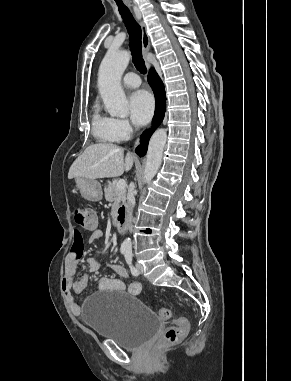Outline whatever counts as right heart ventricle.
<instances>
[{
	"label": "right heart ventricle",
	"instance_id": "1",
	"mask_svg": "<svg viewBox=\"0 0 291 381\" xmlns=\"http://www.w3.org/2000/svg\"><path fill=\"white\" fill-rule=\"evenodd\" d=\"M92 131L94 136L102 142L114 143L121 140L113 129L112 119L103 115L98 106L93 111Z\"/></svg>",
	"mask_w": 291,
	"mask_h": 381
}]
</instances>
